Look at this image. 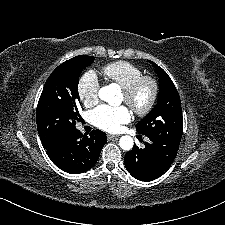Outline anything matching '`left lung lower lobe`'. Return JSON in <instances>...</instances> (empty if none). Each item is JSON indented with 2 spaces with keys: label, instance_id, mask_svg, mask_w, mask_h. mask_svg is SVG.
I'll return each instance as SVG.
<instances>
[{
  "label": "left lung lower lobe",
  "instance_id": "obj_1",
  "mask_svg": "<svg viewBox=\"0 0 225 225\" xmlns=\"http://www.w3.org/2000/svg\"><path fill=\"white\" fill-rule=\"evenodd\" d=\"M143 149L137 146L126 153L125 166L137 180L152 181L163 175L173 163L179 143L167 136L150 135Z\"/></svg>",
  "mask_w": 225,
  "mask_h": 225
}]
</instances>
